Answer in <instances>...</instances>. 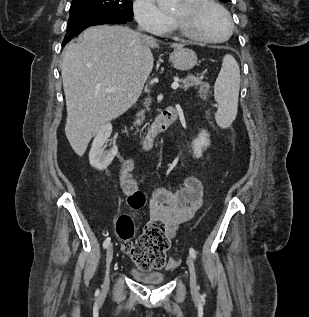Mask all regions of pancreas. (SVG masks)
Returning <instances> with one entry per match:
<instances>
[{"instance_id":"obj_1","label":"pancreas","mask_w":309,"mask_h":317,"mask_svg":"<svg viewBox=\"0 0 309 317\" xmlns=\"http://www.w3.org/2000/svg\"><path fill=\"white\" fill-rule=\"evenodd\" d=\"M203 77H196L194 75H188L184 79H179V82L181 83L180 87L181 89L187 90L190 87H197L200 83ZM146 109H149L150 102L144 103ZM145 113V110H141L138 113V119L135 121L134 125H141L142 121L144 119L143 114Z\"/></svg>"}]
</instances>
